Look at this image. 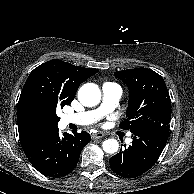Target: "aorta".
<instances>
[{"label": "aorta", "mask_w": 194, "mask_h": 194, "mask_svg": "<svg viewBox=\"0 0 194 194\" xmlns=\"http://www.w3.org/2000/svg\"><path fill=\"white\" fill-rule=\"evenodd\" d=\"M78 99L84 106H96L101 100V91L94 83L84 84L78 91ZM102 147L106 153L113 154L118 151L119 143L115 139H107L103 141Z\"/></svg>", "instance_id": "aorta-1"}]
</instances>
